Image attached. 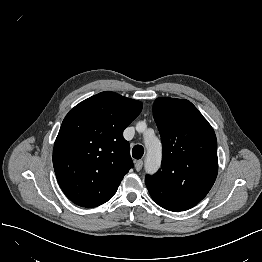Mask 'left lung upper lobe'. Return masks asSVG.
Segmentation results:
<instances>
[{
	"instance_id": "1",
	"label": "left lung upper lobe",
	"mask_w": 262,
	"mask_h": 262,
	"mask_svg": "<svg viewBox=\"0 0 262 262\" xmlns=\"http://www.w3.org/2000/svg\"><path fill=\"white\" fill-rule=\"evenodd\" d=\"M153 116L163 144L162 165L155 175L146 176L145 184L161 207L187 210L207 195L217 177L214 130L188 100L158 98Z\"/></svg>"
}]
</instances>
